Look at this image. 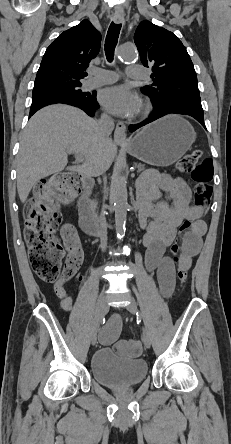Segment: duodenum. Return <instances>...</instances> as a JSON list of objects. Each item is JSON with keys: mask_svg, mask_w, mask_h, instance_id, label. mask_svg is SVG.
<instances>
[{"mask_svg": "<svg viewBox=\"0 0 231 444\" xmlns=\"http://www.w3.org/2000/svg\"><path fill=\"white\" fill-rule=\"evenodd\" d=\"M83 191L78 201L80 225L83 231L89 236H101V230L98 229L99 218L92 210L91 203L89 201V195L93 188V181L91 177L82 175Z\"/></svg>", "mask_w": 231, "mask_h": 444, "instance_id": "duodenum-1", "label": "duodenum"}]
</instances>
